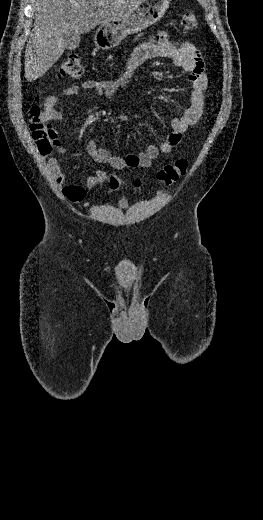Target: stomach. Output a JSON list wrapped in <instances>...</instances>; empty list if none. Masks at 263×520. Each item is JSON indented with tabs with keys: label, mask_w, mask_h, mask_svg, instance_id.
<instances>
[{
	"label": "stomach",
	"mask_w": 263,
	"mask_h": 520,
	"mask_svg": "<svg viewBox=\"0 0 263 520\" xmlns=\"http://www.w3.org/2000/svg\"><path fill=\"white\" fill-rule=\"evenodd\" d=\"M171 0H141L123 16L102 23L95 32L99 49L116 47L127 35L140 32L158 22L169 8Z\"/></svg>",
	"instance_id": "obj_1"
}]
</instances>
